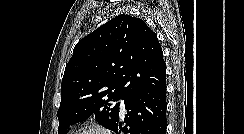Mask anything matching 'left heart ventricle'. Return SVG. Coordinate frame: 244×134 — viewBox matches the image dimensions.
I'll return each mask as SVG.
<instances>
[{
    "instance_id": "1",
    "label": "left heart ventricle",
    "mask_w": 244,
    "mask_h": 134,
    "mask_svg": "<svg viewBox=\"0 0 244 134\" xmlns=\"http://www.w3.org/2000/svg\"><path fill=\"white\" fill-rule=\"evenodd\" d=\"M83 134H97V133H94V132H86V133H83Z\"/></svg>"
}]
</instances>
